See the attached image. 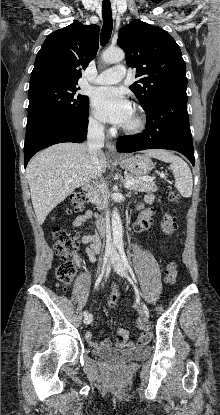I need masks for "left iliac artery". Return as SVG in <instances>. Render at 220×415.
Here are the masks:
<instances>
[{
	"label": "left iliac artery",
	"mask_w": 220,
	"mask_h": 415,
	"mask_svg": "<svg viewBox=\"0 0 220 415\" xmlns=\"http://www.w3.org/2000/svg\"><path fill=\"white\" fill-rule=\"evenodd\" d=\"M117 247H118V250H119V254H120L121 258H122L124 267L129 270V272H130V274H131L134 282L137 284L136 276H135V274H134V272H133V270H132V268H131V266H130V264L128 262V259L126 257L125 251H124L123 244L121 243ZM144 313L146 314V316H149V310L145 311Z\"/></svg>",
	"instance_id": "left-iliac-artery-1"
}]
</instances>
